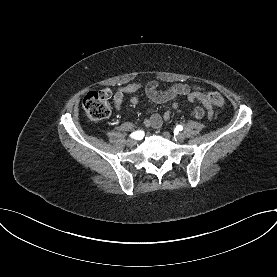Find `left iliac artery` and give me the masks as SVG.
I'll list each match as a JSON object with an SVG mask.
<instances>
[{
  "label": "left iliac artery",
  "instance_id": "obj_1",
  "mask_svg": "<svg viewBox=\"0 0 277 277\" xmlns=\"http://www.w3.org/2000/svg\"><path fill=\"white\" fill-rule=\"evenodd\" d=\"M176 130L182 131V130H183V127H182L181 125H178V126L176 127Z\"/></svg>",
  "mask_w": 277,
  "mask_h": 277
}]
</instances>
